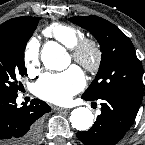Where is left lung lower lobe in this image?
Returning <instances> with one entry per match:
<instances>
[{
	"label": "left lung lower lobe",
	"instance_id": "obj_1",
	"mask_svg": "<svg viewBox=\"0 0 145 145\" xmlns=\"http://www.w3.org/2000/svg\"><path fill=\"white\" fill-rule=\"evenodd\" d=\"M83 99L94 101L88 97ZM101 115L94 125L84 132H77L85 145H115L133 124L140 102L121 96L101 98Z\"/></svg>",
	"mask_w": 145,
	"mask_h": 145
}]
</instances>
